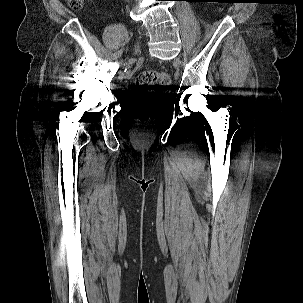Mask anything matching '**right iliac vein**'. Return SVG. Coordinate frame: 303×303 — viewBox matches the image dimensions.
I'll list each match as a JSON object with an SVG mask.
<instances>
[{
    "instance_id": "1",
    "label": "right iliac vein",
    "mask_w": 303,
    "mask_h": 303,
    "mask_svg": "<svg viewBox=\"0 0 303 303\" xmlns=\"http://www.w3.org/2000/svg\"><path fill=\"white\" fill-rule=\"evenodd\" d=\"M139 51H140V45L139 43H137L135 46V53H138Z\"/></svg>"
}]
</instances>
